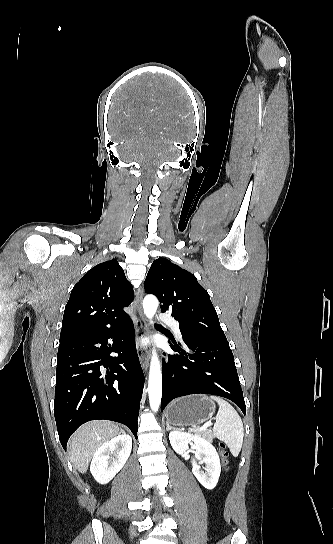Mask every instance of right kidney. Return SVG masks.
<instances>
[{"label":"right kidney","mask_w":333,"mask_h":544,"mask_svg":"<svg viewBox=\"0 0 333 544\" xmlns=\"http://www.w3.org/2000/svg\"><path fill=\"white\" fill-rule=\"evenodd\" d=\"M131 450L132 438L125 433L101 445L95 452L90 466L94 479L99 484L111 481L125 465Z\"/></svg>","instance_id":"ca27d5eb"}]
</instances>
